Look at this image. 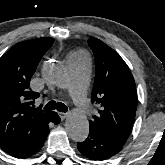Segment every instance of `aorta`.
<instances>
[{"instance_id":"1","label":"aorta","mask_w":165,"mask_h":165,"mask_svg":"<svg viewBox=\"0 0 165 165\" xmlns=\"http://www.w3.org/2000/svg\"><path fill=\"white\" fill-rule=\"evenodd\" d=\"M65 69L58 63H48L43 68V78L50 84L60 86L64 82ZM65 129L74 141H84L89 134V122L85 115L74 112L65 123Z\"/></svg>"}]
</instances>
